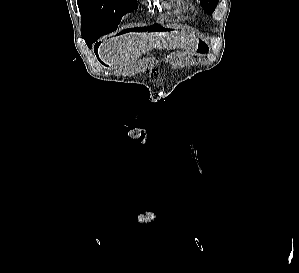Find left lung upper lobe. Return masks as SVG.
Here are the masks:
<instances>
[{"instance_id":"1","label":"left lung upper lobe","mask_w":299,"mask_h":273,"mask_svg":"<svg viewBox=\"0 0 299 273\" xmlns=\"http://www.w3.org/2000/svg\"><path fill=\"white\" fill-rule=\"evenodd\" d=\"M202 8L208 13L212 14L215 10L219 0H199Z\"/></svg>"}]
</instances>
